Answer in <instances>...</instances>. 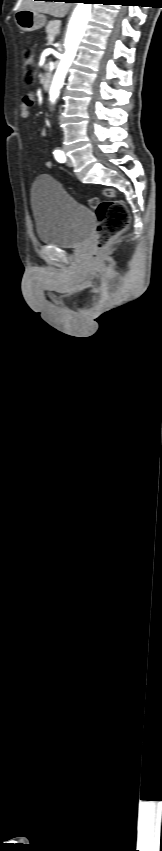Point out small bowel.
<instances>
[{
    "mask_svg": "<svg viewBox=\"0 0 162 851\" xmlns=\"http://www.w3.org/2000/svg\"><path fill=\"white\" fill-rule=\"evenodd\" d=\"M33 104H34V95L31 94V93L25 95L24 98L22 99V103H21V107H20V116H21L22 119L27 120L30 117V109L32 108ZM44 134H45V130L42 131V135H44ZM45 165H46V167H51L52 162L46 161Z\"/></svg>",
    "mask_w": 162,
    "mask_h": 851,
    "instance_id": "c3829d8e",
    "label": "small bowel"
}]
</instances>
